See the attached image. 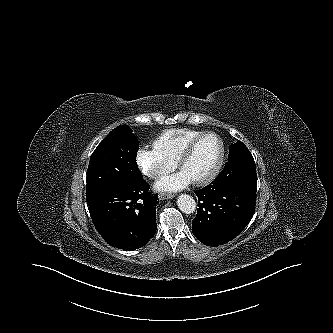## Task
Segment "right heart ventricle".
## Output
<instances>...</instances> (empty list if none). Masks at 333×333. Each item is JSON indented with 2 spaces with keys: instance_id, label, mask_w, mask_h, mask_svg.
Returning <instances> with one entry per match:
<instances>
[{
  "instance_id": "obj_1",
  "label": "right heart ventricle",
  "mask_w": 333,
  "mask_h": 333,
  "mask_svg": "<svg viewBox=\"0 0 333 333\" xmlns=\"http://www.w3.org/2000/svg\"><path fill=\"white\" fill-rule=\"evenodd\" d=\"M201 133L192 129L167 130L154 140L153 147L161 155L177 162L186 145Z\"/></svg>"
}]
</instances>
